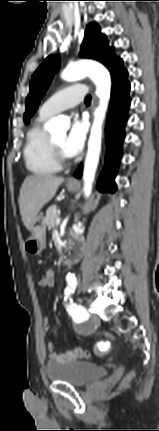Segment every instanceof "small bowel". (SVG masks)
Instances as JSON below:
<instances>
[{
    "mask_svg": "<svg viewBox=\"0 0 159 431\" xmlns=\"http://www.w3.org/2000/svg\"><path fill=\"white\" fill-rule=\"evenodd\" d=\"M53 268L50 265L45 266V271L42 274V277L39 281V285L42 288H49L48 281L46 279L51 278L52 276ZM54 276V275H53ZM43 328L45 332H48L50 330V320L48 317L43 318ZM47 352L49 356V361L53 363H67L71 361H75L77 359L82 358V353L85 352V350L81 347H75L71 350H68L64 353H58L55 349V345L53 342H49L47 344Z\"/></svg>",
    "mask_w": 159,
    "mask_h": 431,
    "instance_id": "obj_1",
    "label": "small bowel"
}]
</instances>
